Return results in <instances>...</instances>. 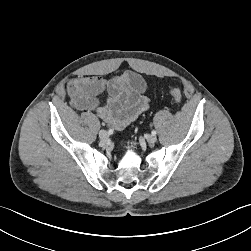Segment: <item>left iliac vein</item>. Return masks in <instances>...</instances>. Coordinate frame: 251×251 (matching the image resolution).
Wrapping results in <instances>:
<instances>
[{
    "mask_svg": "<svg viewBox=\"0 0 251 251\" xmlns=\"http://www.w3.org/2000/svg\"><path fill=\"white\" fill-rule=\"evenodd\" d=\"M146 140H147L148 143L154 144V143L156 142L157 138H156L155 135H148V136L146 137Z\"/></svg>",
    "mask_w": 251,
    "mask_h": 251,
    "instance_id": "1",
    "label": "left iliac vein"
}]
</instances>
